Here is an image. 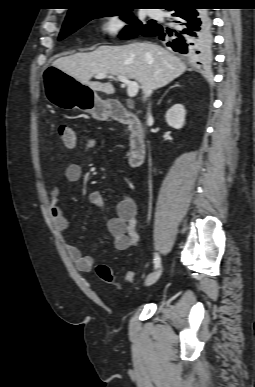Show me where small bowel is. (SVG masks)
Segmentation results:
<instances>
[{"label": "small bowel", "mask_w": 255, "mask_h": 387, "mask_svg": "<svg viewBox=\"0 0 255 387\" xmlns=\"http://www.w3.org/2000/svg\"><path fill=\"white\" fill-rule=\"evenodd\" d=\"M69 183H76L82 177V167L77 163L69 164L64 172ZM60 188L54 186L50 192V214L58 231L66 232L70 228V221L59 206ZM90 204L98 211L104 209V199L99 191H93L88 196ZM137 207L133 199L123 198L116 206L114 214L106 221V230L112 239L113 247L117 251H125L137 246L139 234L137 228ZM69 257L81 272L91 271L94 260L84 255L71 244L66 246Z\"/></svg>", "instance_id": "1"}]
</instances>
